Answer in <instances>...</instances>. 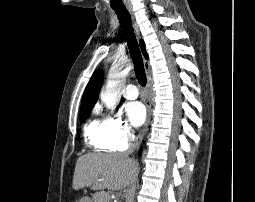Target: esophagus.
Masks as SVG:
<instances>
[{
    "label": "esophagus",
    "mask_w": 255,
    "mask_h": 202,
    "mask_svg": "<svg viewBox=\"0 0 255 202\" xmlns=\"http://www.w3.org/2000/svg\"><path fill=\"white\" fill-rule=\"evenodd\" d=\"M128 11H129L130 16H131V21H132V25L134 27V30H135L136 34L139 36V27H138L136 18L134 16V12H133L132 9H128ZM144 67H145L146 73L148 75L147 90H148V93H150V88H151L150 65H149V62L146 59H144ZM146 108H147V117H146V121H145L142 129L140 130V132L138 134V137H137L138 144H140V142L144 138L145 134L147 133L148 126H149L150 119H151V98H150V94L148 95V99H147V102H146Z\"/></svg>",
    "instance_id": "34e87169"
}]
</instances>
